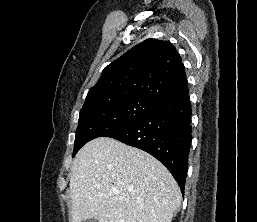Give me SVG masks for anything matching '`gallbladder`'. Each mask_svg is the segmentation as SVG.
Instances as JSON below:
<instances>
[{
  "instance_id": "bac80fb5",
  "label": "gallbladder",
  "mask_w": 257,
  "mask_h": 222,
  "mask_svg": "<svg viewBox=\"0 0 257 222\" xmlns=\"http://www.w3.org/2000/svg\"><path fill=\"white\" fill-rule=\"evenodd\" d=\"M83 222H98V221L95 218H91V219L85 220Z\"/></svg>"
}]
</instances>
